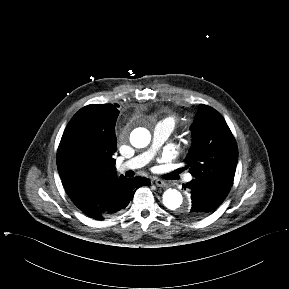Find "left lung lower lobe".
Listing matches in <instances>:
<instances>
[{
	"label": "left lung lower lobe",
	"instance_id": "obj_1",
	"mask_svg": "<svg viewBox=\"0 0 289 289\" xmlns=\"http://www.w3.org/2000/svg\"><path fill=\"white\" fill-rule=\"evenodd\" d=\"M183 187L191 194L192 206L186 217L198 219L217 208L228 195L231 186L208 179L194 178Z\"/></svg>",
	"mask_w": 289,
	"mask_h": 289
}]
</instances>
